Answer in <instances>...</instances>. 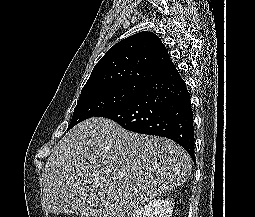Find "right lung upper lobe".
Wrapping results in <instances>:
<instances>
[{
	"label": "right lung upper lobe",
	"instance_id": "1",
	"mask_svg": "<svg viewBox=\"0 0 255 217\" xmlns=\"http://www.w3.org/2000/svg\"><path fill=\"white\" fill-rule=\"evenodd\" d=\"M175 70L161 39L143 31L111 47L93 68L82 91L112 84L147 86Z\"/></svg>",
	"mask_w": 255,
	"mask_h": 217
}]
</instances>
